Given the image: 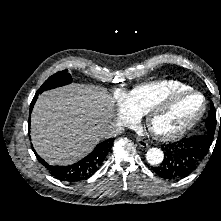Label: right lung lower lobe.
<instances>
[{
  "label": "right lung lower lobe",
  "instance_id": "obj_1",
  "mask_svg": "<svg viewBox=\"0 0 221 221\" xmlns=\"http://www.w3.org/2000/svg\"><path fill=\"white\" fill-rule=\"evenodd\" d=\"M39 93L35 94V97L32 100L30 105V113L35 104ZM30 126V121H29ZM113 138L107 139L101 143H99L94 150L87 155L85 158L80 160L79 162L69 165V166H52L46 163L41 157H39L35 151L34 153L37 156V159L41 164H43L47 170L50 172L52 176L55 178L66 181V182H77L84 180L88 177H91L99 168V166L104 161L108 152L110 151L113 145Z\"/></svg>",
  "mask_w": 221,
  "mask_h": 221
}]
</instances>
